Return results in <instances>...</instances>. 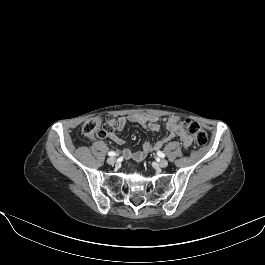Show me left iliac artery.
I'll return each instance as SVG.
<instances>
[{"label":"left iliac artery","mask_w":265,"mask_h":265,"mask_svg":"<svg viewBox=\"0 0 265 265\" xmlns=\"http://www.w3.org/2000/svg\"><path fill=\"white\" fill-rule=\"evenodd\" d=\"M157 154L161 158H164L165 157V154L163 152H161V151H158Z\"/></svg>","instance_id":"1"}]
</instances>
